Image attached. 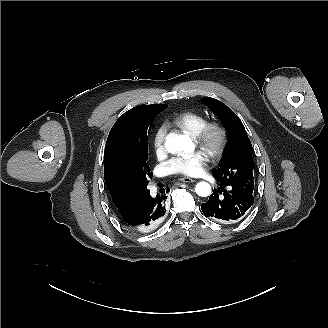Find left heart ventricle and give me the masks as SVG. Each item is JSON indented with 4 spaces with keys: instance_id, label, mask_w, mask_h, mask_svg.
<instances>
[{
    "instance_id": "left-heart-ventricle-1",
    "label": "left heart ventricle",
    "mask_w": 328,
    "mask_h": 328,
    "mask_svg": "<svg viewBox=\"0 0 328 328\" xmlns=\"http://www.w3.org/2000/svg\"><path fill=\"white\" fill-rule=\"evenodd\" d=\"M213 140H214V142H215V141L217 140V137H216V136H214ZM194 147H195V145H194ZM202 151H203V150H202ZM203 152H204V151H203ZM203 152H202V153H203ZM204 154H205L206 156L208 155V154H207V153H205V152H204ZM208 156H209V155H208ZM209 157H210V156H209ZM207 158H208V157H207Z\"/></svg>"
}]
</instances>
